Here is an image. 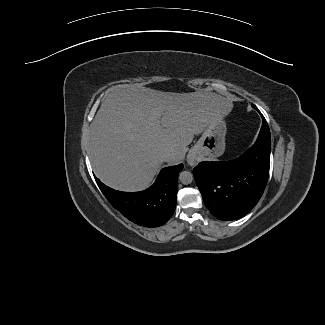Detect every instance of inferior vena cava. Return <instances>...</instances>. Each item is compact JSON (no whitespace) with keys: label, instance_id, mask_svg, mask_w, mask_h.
I'll use <instances>...</instances> for the list:
<instances>
[{"label":"inferior vena cava","instance_id":"1","mask_svg":"<svg viewBox=\"0 0 325 325\" xmlns=\"http://www.w3.org/2000/svg\"><path fill=\"white\" fill-rule=\"evenodd\" d=\"M173 154L171 151H164L161 154V158L164 162H168L172 158Z\"/></svg>","mask_w":325,"mask_h":325}]
</instances>
